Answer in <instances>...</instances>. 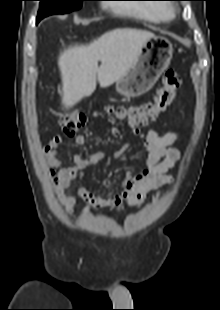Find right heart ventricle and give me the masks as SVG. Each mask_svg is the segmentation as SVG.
<instances>
[{
	"label": "right heart ventricle",
	"mask_w": 220,
	"mask_h": 310,
	"mask_svg": "<svg viewBox=\"0 0 220 310\" xmlns=\"http://www.w3.org/2000/svg\"><path fill=\"white\" fill-rule=\"evenodd\" d=\"M118 11L134 15L151 23H162L169 19L171 11L168 5L158 3L139 4L130 7H119Z\"/></svg>",
	"instance_id": "e07e8e85"
}]
</instances>
